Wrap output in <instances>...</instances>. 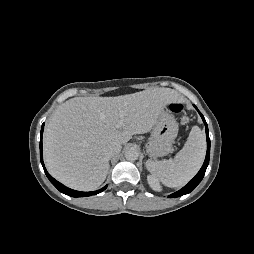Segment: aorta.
Returning a JSON list of instances; mask_svg holds the SVG:
<instances>
[{"mask_svg": "<svg viewBox=\"0 0 254 254\" xmlns=\"http://www.w3.org/2000/svg\"><path fill=\"white\" fill-rule=\"evenodd\" d=\"M139 153L135 148H130L125 151V158L129 161H135L138 159Z\"/></svg>", "mask_w": 254, "mask_h": 254, "instance_id": "aorta-1", "label": "aorta"}]
</instances>
